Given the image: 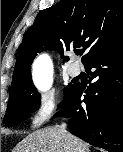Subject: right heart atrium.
<instances>
[{
	"instance_id": "obj_1",
	"label": "right heart atrium",
	"mask_w": 123,
	"mask_h": 152,
	"mask_svg": "<svg viewBox=\"0 0 123 152\" xmlns=\"http://www.w3.org/2000/svg\"><path fill=\"white\" fill-rule=\"evenodd\" d=\"M59 100L54 94L41 95L29 113L32 127H39L47 122L57 111Z\"/></svg>"
}]
</instances>
